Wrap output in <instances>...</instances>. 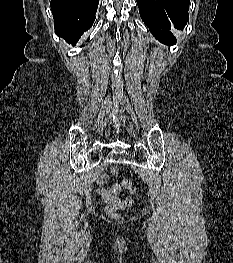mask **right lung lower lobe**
Segmentation results:
<instances>
[{
  "mask_svg": "<svg viewBox=\"0 0 233 263\" xmlns=\"http://www.w3.org/2000/svg\"><path fill=\"white\" fill-rule=\"evenodd\" d=\"M98 4L99 0H51L55 33L75 45L92 26Z\"/></svg>",
  "mask_w": 233,
  "mask_h": 263,
  "instance_id": "98d812e1",
  "label": "right lung lower lobe"
}]
</instances>
